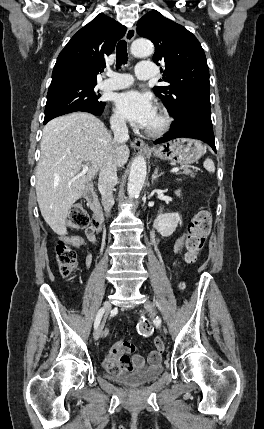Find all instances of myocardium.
Listing matches in <instances>:
<instances>
[{"instance_id":"obj_1","label":"myocardium","mask_w":264,"mask_h":429,"mask_svg":"<svg viewBox=\"0 0 264 429\" xmlns=\"http://www.w3.org/2000/svg\"><path fill=\"white\" fill-rule=\"evenodd\" d=\"M156 115L159 119L158 125L155 127H146L144 131L145 134L150 137L162 136L169 130L171 126L172 119L165 110H159Z\"/></svg>"}]
</instances>
